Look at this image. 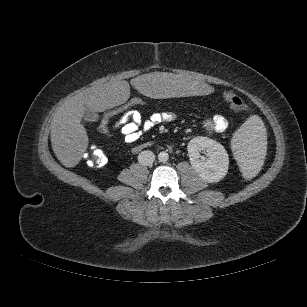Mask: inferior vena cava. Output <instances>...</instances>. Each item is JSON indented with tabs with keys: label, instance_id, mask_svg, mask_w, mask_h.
I'll return each mask as SVG.
<instances>
[{
	"label": "inferior vena cava",
	"instance_id": "inferior-vena-cava-1",
	"mask_svg": "<svg viewBox=\"0 0 307 307\" xmlns=\"http://www.w3.org/2000/svg\"><path fill=\"white\" fill-rule=\"evenodd\" d=\"M155 155L152 151L145 150L139 153L138 161L142 165H150L154 162Z\"/></svg>",
	"mask_w": 307,
	"mask_h": 307
}]
</instances>
